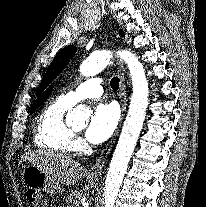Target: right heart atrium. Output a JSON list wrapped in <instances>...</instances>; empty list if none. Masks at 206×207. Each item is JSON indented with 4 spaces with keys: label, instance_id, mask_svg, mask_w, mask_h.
Segmentation results:
<instances>
[{
    "label": "right heart atrium",
    "instance_id": "1",
    "mask_svg": "<svg viewBox=\"0 0 206 207\" xmlns=\"http://www.w3.org/2000/svg\"><path fill=\"white\" fill-rule=\"evenodd\" d=\"M76 145H77V148H78V149H81V148L84 147V143H83V141L81 140V138H79V137L76 138Z\"/></svg>",
    "mask_w": 206,
    "mask_h": 207
}]
</instances>
